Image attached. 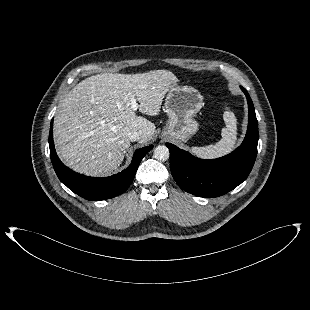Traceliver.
<instances>
[{
    "label": "liver",
    "mask_w": 310,
    "mask_h": 310,
    "mask_svg": "<svg viewBox=\"0 0 310 310\" xmlns=\"http://www.w3.org/2000/svg\"><path fill=\"white\" fill-rule=\"evenodd\" d=\"M178 79L168 70L139 74L103 73L78 83L59 106L54 121V142L64 163L89 176L113 173L130 146L128 133L141 132L148 142L155 125L132 110L156 116L165 94Z\"/></svg>",
    "instance_id": "1"
}]
</instances>
